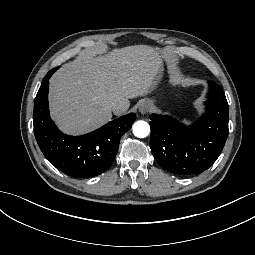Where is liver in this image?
I'll return each instance as SVG.
<instances>
[{"label":"liver","instance_id":"1","mask_svg":"<svg viewBox=\"0 0 255 255\" xmlns=\"http://www.w3.org/2000/svg\"><path fill=\"white\" fill-rule=\"evenodd\" d=\"M159 48L148 45L113 49L103 56L80 55L66 63L50 79L52 119L71 135L97 129L112 118L111 104L122 105L145 96L156 87L163 71Z\"/></svg>","mask_w":255,"mask_h":255}]
</instances>
